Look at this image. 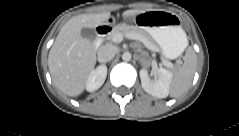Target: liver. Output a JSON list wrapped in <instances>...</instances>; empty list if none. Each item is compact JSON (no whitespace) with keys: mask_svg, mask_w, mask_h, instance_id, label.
<instances>
[{"mask_svg":"<svg viewBox=\"0 0 239 136\" xmlns=\"http://www.w3.org/2000/svg\"><path fill=\"white\" fill-rule=\"evenodd\" d=\"M143 11L127 10L124 17ZM110 12L81 14L69 19L58 33L48 55V67L56 87L72 97L80 95L96 64V50L81 36L82 28H95L110 18Z\"/></svg>","mask_w":239,"mask_h":136,"instance_id":"liver-1","label":"liver"}]
</instances>
